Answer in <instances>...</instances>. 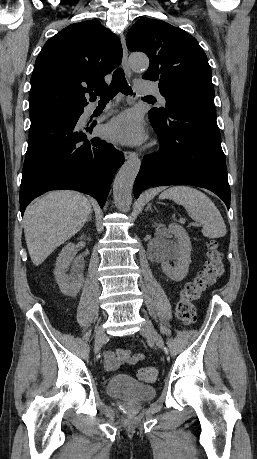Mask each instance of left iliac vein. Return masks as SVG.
I'll return each mask as SVG.
<instances>
[{"label":"left iliac vein","instance_id":"1","mask_svg":"<svg viewBox=\"0 0 257 459\" xmlns=\"http://www.w3.org/2000/svg\"><path fill=\"white\" fill-rule=\"evenodd\" d=\"M140 332L143 335L147 336L151 341H153L158 348H164V341L161 335L157 332L152 322L148 318H145V321L140 329Z\"/></svg>","mask_w":257,"mask_h":459}]
</instances>
